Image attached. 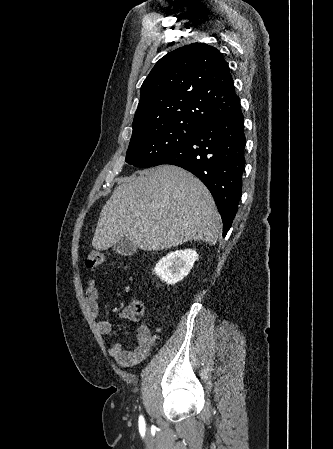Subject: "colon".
<instances>
[{"label":"colon","mask_w":333,"mask_h":449,"mask_svg":"<svg viewBox=\"0 0 333 449\" xmlns=\"http://www.w3.org/2000/svg\"><path fill=\"white\" fill-rule=\"evenodd\" d=\"M104 256L100 250L92 249L88 252L86 257V266L90 269L99 267L103 262ZM131 310L135 315H142L144 313L143 304L139 301L133 302Z\"/></svg>","instance_id":"1"}]
</instances>
